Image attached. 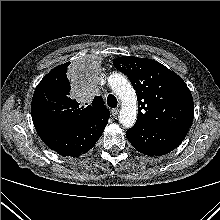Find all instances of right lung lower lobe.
<instances>
[{"label": "right lung lower lobe", "mask_w": 220, "mask_h": 220, "mask_svg": "<svg viewBox=\"0 0 220 220\" xmlns=\"http://www.w3.org/2000/svg\"><path fill=\"white\" fill-rule=\"evenodd\" d=\"M110 114H99L70 128L36 130L43 142L62 156L78 157L90 150L101 137Z\"/></svg>", "instance_id": "98d812e1"}]
</instances>
